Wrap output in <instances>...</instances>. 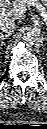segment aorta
I'll list each match as a JSON object with an SVG mask.
<instances>
[{"label":"aorta","instance_id":"obj_1","mask_svg":"<svg viewBox=\"0 0 47 129\" xmlns=\"http://www.w3.org/2000/svg\"><path fill=\"white\" fill-rule=\"evenodd\" d=\"M22 40L29 47H37L42 44L43 35L38 28H27L23 32Z\"/></svg>","mask_w":47,"mask_h":129}]
</instances>
